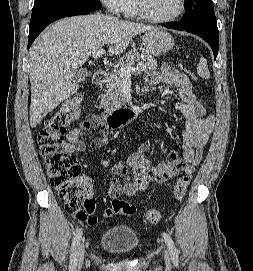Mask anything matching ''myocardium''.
<instances>
[{
    "label": "myocardium",
    "mask_w": 253,
    "mask_h": 271,
    "mask_svg": "<svg viewBox=\"0 0 253 271\" xmlns=\"http://www.w3.org/2000/svg\"><path fill=\"white\" fill-rule=\"evenodd\" d=\"M135 3V7H136V11L137 14L149 21V22H153V23H171L176 21L180 16L183 15V13L185 12L186 9V0H180L179 1V8L177 10V12L169 17H165V18H159V17H155L150 15L144 5V0H134Z\"/></svg>",
    "instance_id": "f54148a6"
}]
</instances>
